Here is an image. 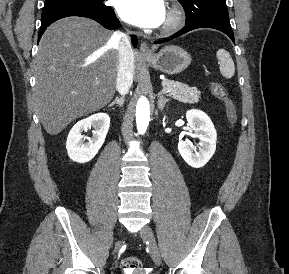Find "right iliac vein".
<instances>
[{"label": "right iliac vein", "instance_id": "obj_1", "mask_svg": "<svg viewBox=\"0 0 289 274\" xmlns=\"http://www.w3.org/2000/svg\"><path fill=\"white\" fill-rule=\"evenodd\" d=\"M120 245H121V242L118 243V246H120Z\"/></svg>", "mask_w": 289, "mask_h": 274}]
</instances>
